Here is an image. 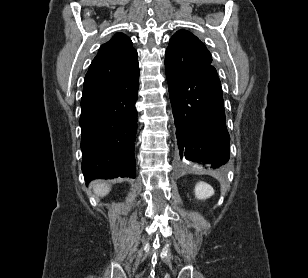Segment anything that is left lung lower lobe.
Instances as JSON below:
<instances>
[{
    "label": "left lung lower lobe",
    "instance_id": "1",
    "mask_svg": "<svg viewBox=\"0 0 308 278\" xmlns=\"http://www.w3.org/2000/svg\"><path fill=\"white\" fill-rule=\"evenodd\" d=\"M166 69L181 159L211 164L229 160L221 83L212 65L191 71Z\"/></svg>",
    "mask_w": 308,
    "mask_h": 278
}]
</instances>
